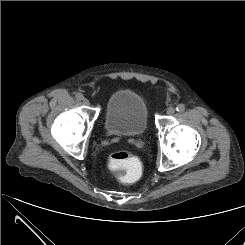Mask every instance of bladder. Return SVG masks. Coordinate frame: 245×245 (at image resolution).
I'll list each match as a JSON object with an SVG mask.
<instances>
[{
    "mask_svg": "<svg viewBox=\"0 0 245 245\" xmlns=\"http://www.w3.org/2000/svg\"><path fill=\"white\" fill-rule=\"evenodd\" d=\"M148 125V109L141 94L123 89L114 92L105 103L104 128L116 136H139Z\"/></svg>",
    "mask_w": 245,
    "mask_h": 245,
    "instance_id": "obj_1",
    "label": "bladder"
}]
</instances>
